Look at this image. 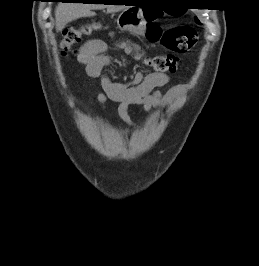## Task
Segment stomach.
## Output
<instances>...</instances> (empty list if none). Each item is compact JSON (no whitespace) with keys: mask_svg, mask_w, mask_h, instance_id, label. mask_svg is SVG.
Instances as JSON below:
<instances>
[{"mask_svg":"<svg viewBox=\"0 0 259 266\" xmlns=\"http://www.w3.org/2000/svg\"><path fill=\"white\" fill-rule=\"evenodd\" d=\"M117 25L122 31L143 34L145 22L140 11L132 8L125 9L117 19Z\"/></svg>","mask_w":259,"mask_h":266,"instance_id":"obj_1","label":"stomach"}]
</instances>
